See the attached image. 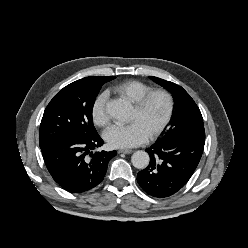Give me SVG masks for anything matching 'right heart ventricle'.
<instances>
[{"label": "right heart ventricle", "instance_id": "obj_1", "mask_svg": "<svg viewBox=\"0 0 248 248\" xmlns=\"http://www.w3.org/2000/svg\"><path fill=\"white\" fill-rule=\"evenodd\" d=\"M149 90H151V87L139 80H126L113 88L115 93L127 98L133 103L139 100Z\"/></svg>", "mask_w": 248, "mask_h": 248}]
</instances>
